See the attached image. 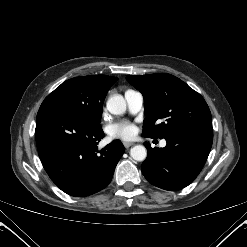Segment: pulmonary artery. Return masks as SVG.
Returning <instances> with one entry per match:
<instances>
[{"label": "pulmonary artery", "instance_id": "e3ab8cb5", "mask_svg": "<svg viewBox=\"0 0 247 247\" xmlns=\"http://www.w3.org/2000/svg\"><path fill=\"white\" fill-rule=\"evenodd\" d=\"M125 100L127 102L128 110L132 114L138 113L143 107L144 97L139 91L127 90L125 92ZM166 144L165 140L160 142L161 147H165Z\"/></svg>", "mask_w": 247, "mask_h": 247}]
</instances>
